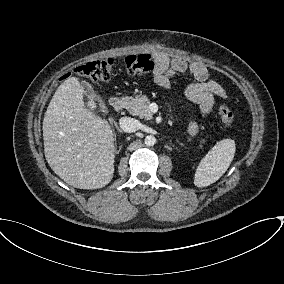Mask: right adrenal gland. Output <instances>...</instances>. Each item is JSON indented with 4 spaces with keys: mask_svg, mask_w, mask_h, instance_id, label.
Returning <instances> with one entry per match:
<instances>
[{
    "mask_svg": "<svg viewBox=\"0 0 284 284\" xmlns=\"http://www.w3.org/2000/svg\"><path fill=\"white\" fill-rule=\"evenodd\" d=\"M115 127L117 128V130H118L120 133H122V130L116 125V123H115ZM114 136H115V138H116V135H114ZM121 148H122V146L119 147V150H117V153L120 152Z\"/></svg>",
    "mask_w": 284,
    "mask_h": 284,
    "instance_id": "obj_1",
    "label": "right adrenal gland"
}]
</instances>
